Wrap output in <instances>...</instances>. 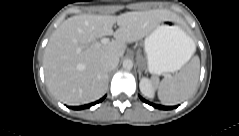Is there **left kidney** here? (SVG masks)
<instances>
[{
	"label": "left kidney",
	"mask_w": 239,
	"mask_h": 136,
	"mask_svg": "<svg viewBox=\"0 0 239 136\" xmlns=\"http://www.w3.org/2000/svg\"><path fill=\"white\" fill-rule=\"evenodd\" d=\"M139 88H140V91L142 92V94H144L145 96H147L149 98H154L155 92H154V86H153L151 80H149L146 77H143L140 80Z\"/></svg>",
	"instance_id": "left-kidney-1"
}]
</instances>
